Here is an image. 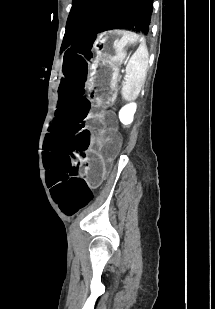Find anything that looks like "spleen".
<instances>
[{"instance_id":"obj_1","label":"spleen","mask_w":215,"mask_h":309,"mask_svg":"<svg viewBox=\"0 0 215 309\" xmlns=\"http://www.w3.org/2000/svg\"><path fill=\"white\" fill-rule=\"evenodd\" d=\"M147 66L148 50L146 42H141L126 66L127 78L121 90L122 96L125 100H135V98H137L146 76Z\"/></svg>"}]
</instances>
